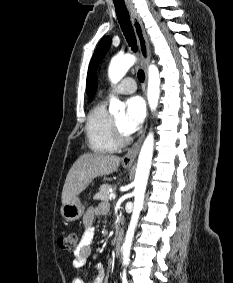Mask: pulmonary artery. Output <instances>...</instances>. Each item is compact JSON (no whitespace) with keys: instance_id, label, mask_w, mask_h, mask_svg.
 Masks as SVG:
<instances>
[{"instance_id":"1","label":"pulmonary artery","mask_w":233,"mask_h":283,"mask_svg":"<svg viewBox=\"0 0 233 283\" xmlns=\"http://www.w3.org/2000/svg\"><path fill=\"white\" fill-rule=\"evenodd\" d=\"M135 91L136 82L130 77L123 79L114 90V92L117 94H131Z\"/></svg>"}]
</instances>
